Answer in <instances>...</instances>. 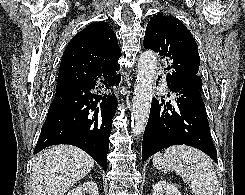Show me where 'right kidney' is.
Listing matches in <instances>:
<instances>
[{
	"label": "right kidney",
	"instance_id": "obj_1",
	"mask_svg": "<svg viewBox=\"0 0 245 195\" xmlns=\"http://www.w3.org/2000/svg\"><path fill=\"white\" fill-rule=\"evenodd\" d=\"M98 195V187L94 181H87L73 188L67 195Z\"/></svg>",
	"mask_w": 245,
	"mask_h": 195
}]
</instances>
